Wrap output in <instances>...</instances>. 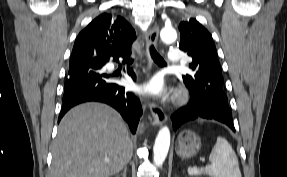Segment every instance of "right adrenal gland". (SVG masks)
Instances as JSON below:
<instances>
[{
    "label": "right adrenal gland",
    "instance_id": "obj_1",
    "mask_svg": "<svg viewBox=\"0 0 287 177\" xmlns=\"http://www.w3.org/2000/svg\"><path fill=\"white\" fill-rule=\"evenodd\" d=\"M126 170H127V167L125 166L123 169V173H122L123 177H126ZM116 177H120V175H117Z\"/></svg>",
    "mask_w": 287,
    "mask_h": 177
}]
</instances>
